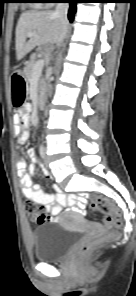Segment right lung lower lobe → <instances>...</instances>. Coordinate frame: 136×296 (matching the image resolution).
I'll use <instances>...</instances> for the list:
<instances>
[{
  "label": "right lung lower lobe",
  "instance_id": "right-lung-lower-lobe-1",
  "mask_svg": "<svg viewBox=\"0 0 136 296\" xmlns=\"http://www.w3.org/2000/svg\"><path fill=\"white\" fill-rule=\"evenodd\" d=\"M64 1H67L68 3H70L68 18H69L70 22H72L73 18H74V14L76 12V3L80 2V1L79 0H64Z\"/></svg>",
  "mask_w": 136,
  "mask_h": 296
}]
</instances>
